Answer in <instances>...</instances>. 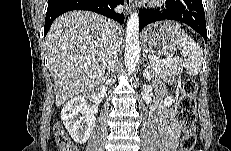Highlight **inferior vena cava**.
I'll list each match as a JSON object with an SVG mask.
<instances>
[{
    "instance_id": "602c4592",
    "label": "inferior vena cava",
    "mask_w": 231,
    "mask_h": 151,
    "mask_svg": "<svg viewBox=\"0 0 231 151\" xmlns=\"http://www.w3.org/2000/svg\"><path fill=\"white\" fill-rule=\"evenodd\" d=\"M115 11L120 13L122 11V6L118 5L115 8ZM109 25H110L111 29L108 32V41H107V48H106L107 58H108V61H107V65H108L107 69L108 70L113 63V60L116 58V55H117L118 50L120 48V44L117 41L116 35L118 32L121 31L119 25L117 23L113 22L112 20H109Z\"/></svg>"
}]
</instances>
